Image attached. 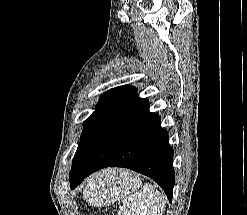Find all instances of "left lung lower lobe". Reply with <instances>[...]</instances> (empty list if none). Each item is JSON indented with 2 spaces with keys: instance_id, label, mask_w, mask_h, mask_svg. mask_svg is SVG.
Here are the masks:
<instances>
[{
  "instance_id": "obj_1",
  "label": "left lung lower lobe",
  "mask_w": 247,
  "mask_h": 215,
  "mask_svg": "<svg viewBox=\"0 0 247 215\" xmlns=\"http://www.w3.org/2000/svg\"><path fill=\"white\" fill-rule=\"evenodd\" d=\"M106 167H125L149 176L172 200L173 149L167 132L161 128L160 117L149 111L147 99L137 98L98 139L80 145L69 174L71 188Z\"/></svg>"
}]
</instances>
